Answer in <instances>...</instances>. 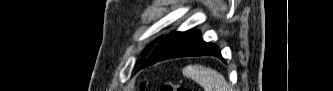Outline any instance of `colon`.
<instances>
[{
  "instance_id": "obj_1",
  "label": "colon",
  "mask_w": 333,
  "mask_h": 91,
  "mask_svg": "<svg viewBox=\"0 0 333 91\" xmlns=\"http://www.w3.org/2000/svg\"><path fill=\"white\" fill-rule=\"evenodd\" d=\"M146 86V83H142L141 88L142 90H144ZM161 90L162 91H188V89L178 83H173V82H165L162 86H161Z\"/></svg>"
}]
</instances>
